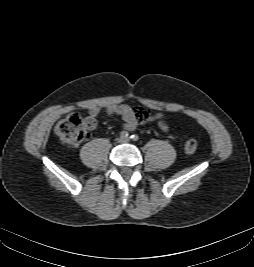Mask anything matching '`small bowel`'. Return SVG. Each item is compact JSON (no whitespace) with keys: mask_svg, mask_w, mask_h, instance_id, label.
Masks as SVG:
<instances>
[{"mask_svg":"<svg viewBox=\"0 0 254 267\" xmlns=\"http://www.w3.org/2000/svg\"><path fill=\"white\" fill-rule=\"evenodd\" d=\"M88 113L92 118H97L102 114L120 116L124 121V127L128 130H134L139 124L153 121L156 122L163 131H169V126L162 113H151L142 108H132L127 104L92 106L89 108Z\"/></svg>","mask_w":254,"mask_h":267,"instance_id":"1","label":"small bowel"}]
</instances>
